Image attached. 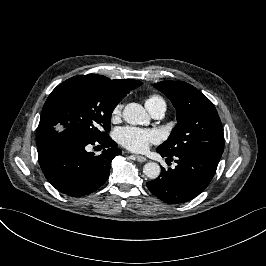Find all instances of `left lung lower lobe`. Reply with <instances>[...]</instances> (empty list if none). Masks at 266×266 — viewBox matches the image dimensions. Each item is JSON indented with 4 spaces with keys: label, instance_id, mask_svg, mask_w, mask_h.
<instances>
[{
    "label": "left lung lower lobe",
    "instance_id": "1",
    "mask_svg": "<svg viewBox=\"0 0 266 266\" xmlns=\"http://www.w3.org/2000/svg\"><path fill=\"white\" fill-rule=\"evenodd\" d=\"M166 161L173 160L175 169L162 168L160 176L147 182L148 189L159 199L169 204H180L199 195L212 180L220 158L200 151H185L169 156L157 149Z\"/></svg>",
    "mask_w": 266,
    "mask_h": 266
}]
</instances>
